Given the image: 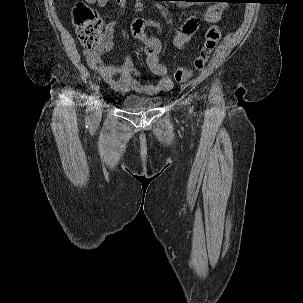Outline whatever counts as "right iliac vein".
<instances>
[{
  "instance_id": "63e3f726",
  "label": "right iliac vein",
  "mask_w": 303,
  "mask_h": 303,
  "mask_svg": "<svg viewBox=\"0 0 303 303\" xmlns=\"http://www.w3.org/2000/svg\"><path fill=\"white\" fill-rule=\"evenodd\" d=\"M102 116V101L99 99L95 103L93 110V121L96 123L101 119Z\"/></svg>"
}]
</instances>
